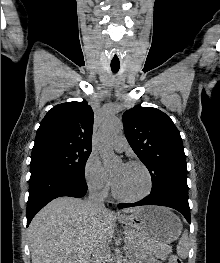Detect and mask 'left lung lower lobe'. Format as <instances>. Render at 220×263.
<instances>
[{
  "mask_svg": "<svg viewBox=\"0 0 220 263\" xmlns=\"http://www.w3.org/2000/svg\"><path fill=\"white\" fill-rule=\"evenodd\" d=\"M141 205H160L167 206L176 209L186 220L190 223V208L188 204V196H183L172 191H160L155 193H150L146 198L136 202V203H121L118 208H126Z\"/></svg>",
  "mask_w": 220,
  "mask_h": 263,
  "instance_id": "obj_1",
  "label": "left lung lower lobe"
}]
</instances>
